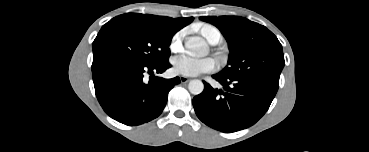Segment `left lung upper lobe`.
I'll list each match as a JSON object with an SVG mask.
<instances>
[{
	"instance_id": "obj_1",
	"label": "left lung upper lobe",
	"mask_w": 369,
	"mask_h": 152,
	"mask_svg": "<svg viewBox=\"0 0 369 152\" xmlns=\"http://www.w3.org/2000/svg\"><path fill=\"white\" fill-rule=\"evenodd\" d=\"M200 19L215 25L228 42V63L219 75L279 82L285 64L282 45L266 27L237 16H202Z\"/></svg>"
}]
</instances>
